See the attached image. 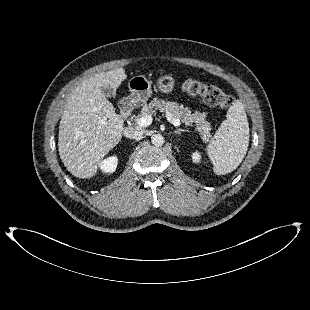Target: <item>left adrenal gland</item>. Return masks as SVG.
I'll use <instances>...</instances> for the list:
<instances>
[{
	"instance_id": "left-adrenal-gland-1",
	"label": "left adrenal gland",
	"mask_w": 310,
	"mask_h": 310,
	"mask_svg": "<svg viewBox=\"0 0 310 310\" xmlns=\"http://www.w3.org/2000/svg\"><path fill=\"white\" fill-rule=\"evenodd\" d=\"M181 132H188V130L187 129L178 128L177 130L174 131L175 134H180Z\"/></svg>"
}]
</instances>
